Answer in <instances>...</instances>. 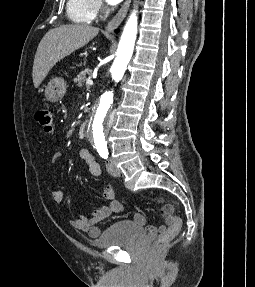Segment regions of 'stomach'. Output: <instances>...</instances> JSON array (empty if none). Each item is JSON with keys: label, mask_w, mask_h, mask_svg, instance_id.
I'll list each match as a JSON object with an SVG mask.
<instances>
[{"label": "stomach", "mask_w": 255, "mask_h": 287, "mask_svg": "<svg viewBox=\"0 0 255 287\" xmlns=\"http://www.w3.org/2000/svg\"><path fill=\"white\" fill-rule=\"evenodd\" d=\"M66 92V82L63 78H54L50 80L45 88V98L47 102H60Z\"/></svg>", "instance_id": "obj_1"}]
</instances>
